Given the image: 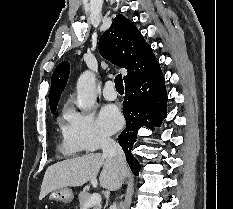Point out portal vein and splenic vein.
<instances>
[{"instance_id": "1", "label": "portal vein and splenic vein", "mask_w": 233, "mask_h": 209, "mask_svg": "<svg viewBox=\"0 0 233 209\" xmlns=\"http://www.w3.org/2000/svg\"><path fill=\"white\" fill-rule=\"evenodd\" d=\"M101 200H102V197L100 194L98 193L92 194L90 198L86 201L84 209H87L88 207H91L93 205L100 204Z\"/></svg>"}]
</instances>
